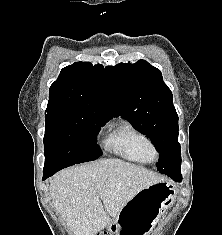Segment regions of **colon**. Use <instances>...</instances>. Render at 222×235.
Wrapping results in <instances>:
<instances>
[{"instance_id":"obj_1","label":"colon","mask_w":222,"mask_h":235,"mask_svg":"<svg viewBox=\"0 0 222 235\" xmlns=\"http://www.w3.org/2000/svg\"><path fill=\"white\" fill-rule=\"evenodd\" d=\"M97 235H105V234H97Z\"/></svg>"}]
</instances>
